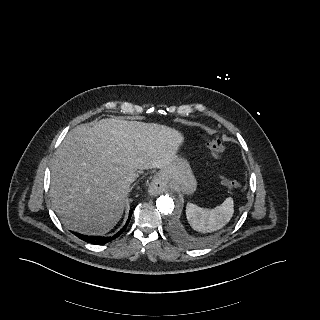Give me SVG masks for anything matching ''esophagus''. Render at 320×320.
<instances>
[{
    "label": "esophagus",
    "mask_w": 320,
    "mask_h": 320,
    "mask_svg": "<svg viewBox=\"0 0 320 320\" xmlns=\"http://www.w3.org/2000/svg\"><path fill=\"white\" fill-rule=\"evenodd\" d=\"M166 188L167 184L164 177L158 174L152 179L148 188V192L150 195L156 196L163 193L166 190Z\"/></svg>",
    "instance_id": "34e87169"
}]
</instances>
